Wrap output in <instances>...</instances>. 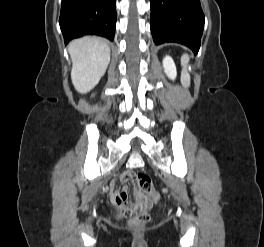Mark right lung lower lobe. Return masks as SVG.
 Returning a JSON list of instances; mask_svg holds the SVG:
<instances>
[{"label":"right lung lower lobe","mask_w":264,"mask_h":247,"mask_svg":"<svg viewBox=\"0 0 264 247\" xmlns=\"http://www.w3.org/2000/svg\"><path fill=\"white\" fill-rule=\"evenodd\" d=\"M59 24L65 44L84 35L114 39L116 0H62Z\"/></svg>","instance_id":"98d812e1"}]
</instances>
